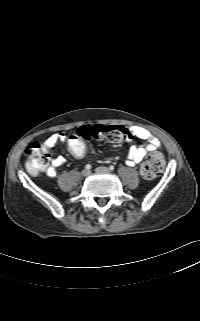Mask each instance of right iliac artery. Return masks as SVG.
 <instances>
[{"label":"right iliac artery","mask_w":200,"mask_h":321,"mask_svg":"<svg viewBox=\"0 0 200 321\" xmlns=\"http://www.w3.org/2000/svg\"><path fill=\"white\" fill-rule=\"evenodd\" d=\"M85 168H86V169H91V165H90V164H87V165L85 166Z\"/></svg>","instance_id":"1"}]
</instances>
